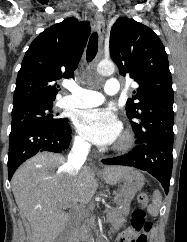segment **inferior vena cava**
<instances>
[{"label": "inferior vena cava", "mask_w": 187, "mask_h": 242, "mask_svg": "<svg viewBox=\"0 0 187 242\" xmlns=\"http://www.w3.org/2000/svg\"><path fill=\"white\" fill-rule=\"evenodd\" d=\"M89 149L90 144L81 139L74 142L66 163L67 172L71 176H76L79 173V170L81 169L89 153Z\"/></svg>", "instance_id": "1"}]
</instances>
